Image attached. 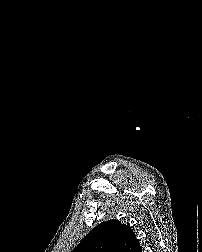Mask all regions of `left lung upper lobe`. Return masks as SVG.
<instances>
[{"instance_id": "5c2ea615", "label": "left lung upper lobe", "mask_w": 202, "mask_h": 252, "mask_svg": "<svg viewBox=\"0 0 202 252\" xmlns=\"http://www.w3.org/2000/svg\"><path fill=\"white\" fill-rule=\"evenodd\" d=\"M139 241L133 230L116 219L101 222L73 252H136Z\"/></svg>"}]
</instances>
